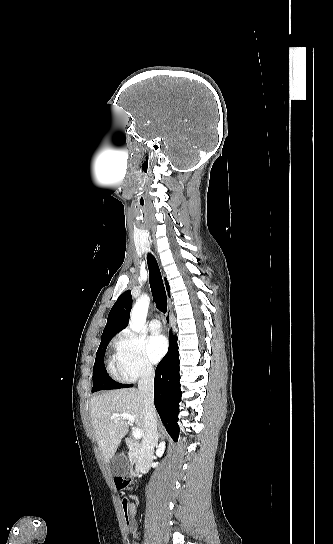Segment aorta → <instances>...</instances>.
Wrapping results in <instances>:
<instances>
[{
    "label": "aorta",
    "mask_w": 333,
    "mask_h": 544,
    "mask_svg": "<svg viewBox=\"0 0 333 544\" xmlns=\"http://www.w3.org/2000/svg\"><path fill=\"white\" fill-rule=\"evenodd\" d=\"M150 299L147 295H142L134 304L130 314V328L135 331H141L147 318Z\"/></svg>",
    "instance_id": "1"
}]
</instances>
